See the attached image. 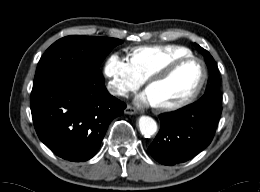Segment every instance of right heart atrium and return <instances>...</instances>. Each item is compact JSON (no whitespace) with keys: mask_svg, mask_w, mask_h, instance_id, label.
Returning a JSON list of instances; mask_svg holds the SVG:
<instances>
[{"mask_svg":"<svg viewBox=\"0 0 260 192\" xmlns=\"http://www.w3.org/2000/svg\"><path fill=\"white\" fill-rule=\"evenodd\" d=\"M107 72L121 90H133L138 88L141 84V79L133 66L118 57H112L109 60Z\"/></svg>","mask_w":260,"mask_h":192,"instance_id":"obj_1","label":"right heart atrium"}]
</instances>
